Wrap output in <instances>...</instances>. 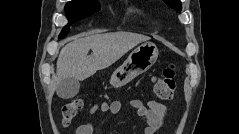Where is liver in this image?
I'll return each mask as SVG.
<instances>
[{
	"label": "liver",
	"instance_id": "6515ba94",
	"mask_svg": "<svg viewBox=\"0 0 239 134\" xmlns=\"http://www.w3.org/2000/svg\"><path fill=\"white\" fill-rule=\"evenodd\" d=\"M148 36L131 32L95 34L64 46L57 60L56 83L65 78L85 80L119 60ZM93 53L87 56L89 50Z\"/></svg>",
	"mask_w": 239,
	"mask_h": 134
}]
</instances>
